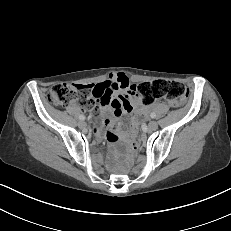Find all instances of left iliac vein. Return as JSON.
Instances as JSON below:
<instances>
[{
  "label": "left iliac vein",
  "mask_w": 231,
  "mask_h": 231,
  "mask_svg": "<svg viewBox=\"0 0 231 231\" xmlns=\"http://www.w3.org/2000/svg\"><path fill=\"white\" fill-rule=\"evenodd\" d=\"M148 128L151 130V131H154L158 128V123L156 121H151L149 122L148 124Z\"/></svg>",
  "instance_id": "1"
}]
</instances>
